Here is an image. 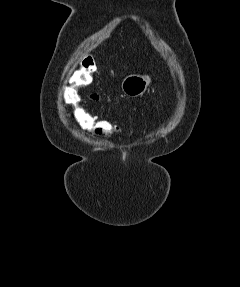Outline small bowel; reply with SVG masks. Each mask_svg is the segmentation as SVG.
<instances>
[{
	"instance_id": "1",
	"label": "small bowel",
	"mask_w": 240,
	"mask_h": 287,
	"mask_svg": "<svg viewBox=\"0 0 240 287\" xmlns=\"http://www.w3.org/2000/svg\"><path fill=\"white\" fill-rule=\"evenodd\" d=\"M87 99L92 102H98L101 99V96L97 93H91L87 96Z\"/></svg>"
}]
</instances>
